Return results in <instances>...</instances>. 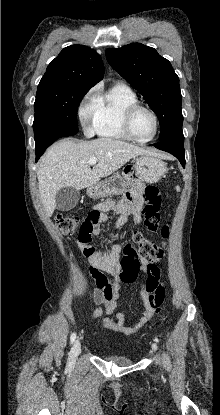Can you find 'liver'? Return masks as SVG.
<instances>
[{"label": "liver", "instance_id": "liver-1", "mask_svg": "<svg viewBox=\"0 0 220 415\" xmlns=\"http://www.w3.org/2000/svg\"><path fill=\"white\" fill-rule=\"evenodd\" d=\"M138 155L153 153L112 138L79 143L65 139L54 144L42 157L37 172L39 194L47 215L51 216L56 208L58 190L65 187L77 190L90 187ZM90 158H97V164L92 169L88 163Z\"/></svg>", "mask_w": 220, "mask_h": 415}]
</instances>
